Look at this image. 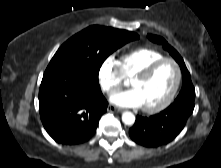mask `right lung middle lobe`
<instances>
[{"mask_svg": "<svg viewBox=\"0 0 221 168\" xmlns=\"http://www.w3.org/2000/svg\"><path fill=\"white\" fill-rule=\"evenodd\" d=\"M133 32L103 26H90L67 40L55 53L47 69L83 70L98 79L104 60L129 41Z\"/></svg>", "mask_w": 221, "mask_h": 168, "instance_id": "obj_1", "label": "right lung middle lobe"}]
</instances>
